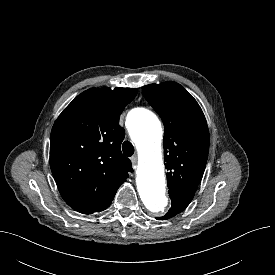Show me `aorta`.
<instances>
[{
	"instance_id": "aorta-1",
	"label": "aorta",
	"mask_w": 275,
	"mask_h": 275,
	"mask_svg": "<svg viewBox=\"0 0 275 275\" xmlns=\"http://www.w3.org/2000/svg\"><path fill=\"white\" fill-rule=\"evenodd\" d=\"M129 120L130 135L140 156L138 192L148 213L160 217L168 209L161 153L162 126L156 115L144 108L132 110Z\"/></svg>"
}]
</instances>
